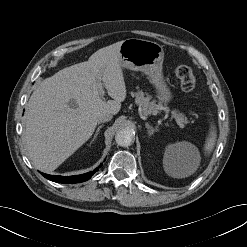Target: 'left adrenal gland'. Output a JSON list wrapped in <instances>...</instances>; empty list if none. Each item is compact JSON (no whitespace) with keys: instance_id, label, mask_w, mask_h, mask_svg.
<instances>
[{"instance_id":"left-adrenal-gland-1","label":"left adrenal gland","mask_w":247,"mask_h":247,"mask_svg":"<svg viewBox=\"0 0 247 247\" xmlns=\"http://www.w3.org/2000/svg\"><path fill=\"white\" fill-rule=\"evenodd\" d=\"M145 126L148 129L149 136H151L154 132L157 131V128L152 127L149 123H146Z\"/></svg>"}]
</instances>
